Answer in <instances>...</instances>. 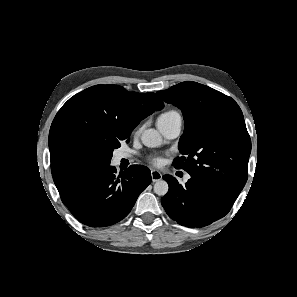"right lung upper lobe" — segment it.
I'll return each mask as SVG.
<instances>
[{
  "label": "right lung upper lobe",
  "mask_w": 297,
  "mask_h": 297,
  "mask_svg": "<svg viewBox=\"0 0 297 297\" xmlns=\"http://www.w3.org/2000/svg\"><path fill=\"white\" fill-rule=\"evenodd\" d=\"M163 107L155 93L128 92L119 85L92 86L70 98L49 132L51 171L61 199L109 167L113 146Z\"/></svg>",
  "instance_id": "cb5924a9"
}]
</instances>
